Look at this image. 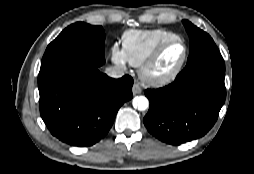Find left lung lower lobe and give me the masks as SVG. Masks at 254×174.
<instances>
[{"label":"left lung lower lobe","mask_w":254,"mask_h":174,"mask_svg":"<svg viewBox=\"0 0 254 174\" xmlns=\"http://www.w3.org/2000/svg\"><path fill=\"white\" fill-rule=\"evenodd\" d=\"M225 69L203 67L180 72L173 83L147 89L149 111L143 121L147 130L170 145L204 136L215 124L225 102Z\"/></svg>","instance_id":"1"}]
</instances>
